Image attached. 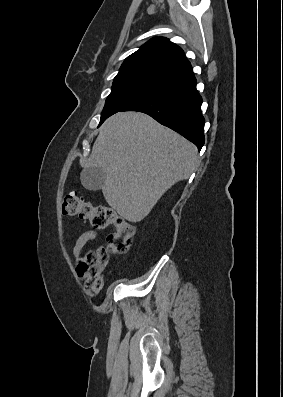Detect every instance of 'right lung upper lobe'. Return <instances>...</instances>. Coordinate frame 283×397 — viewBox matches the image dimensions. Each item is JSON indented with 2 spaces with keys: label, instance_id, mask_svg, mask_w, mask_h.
<instances>
[{
  "label": "right lung upper lobe",
  "instance_id": "right-lung-upper-lobe-1",
  "mask_svg": "<svg viewBox=\"0 0 283 397\" xmlns=\"http://www.w3.org/2000/svg\"><path fill=\"white\" fill-rule=\"evenodd\" d=\"M142 72L168 84L193 75L183 50L163 37H155L128 56L119 73Z\"/></svg>",
  "mask_w": 283,
  "mask_h": 397
}]
</instances>
